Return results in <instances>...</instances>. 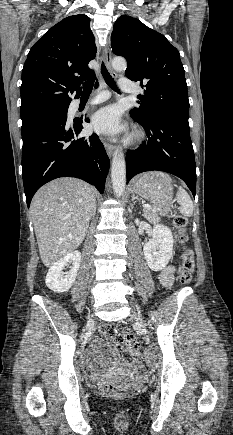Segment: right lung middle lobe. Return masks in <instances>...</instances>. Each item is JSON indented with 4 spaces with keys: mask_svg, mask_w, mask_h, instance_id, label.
I'll return each mask as SVG.
<instances>
[{
    "mask_svg": "<svg viewBox=\"0 0 233 435\" xmlns=\"http://www.w3.org/2000/svg\"><path fill=\"white\" fill-rule=\"evenodd\" d=\"M69 106L53 107L37 111L32 114L21 116L22 128L28 127L42 120L52 117H65L67 118V111Z\"/></svg>",
    "mask_w": 233,
    "mask_h": 435,
    "instance_id": "dd1d6c3e",
    "label": "right lung middle lobe"
}]
</instances>
